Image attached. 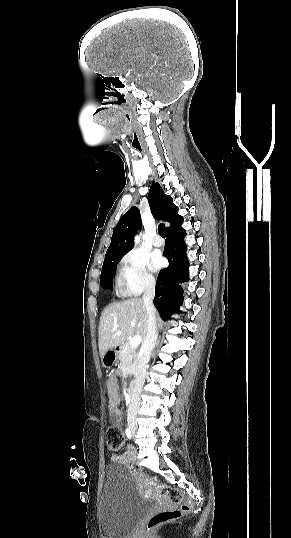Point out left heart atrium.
Returning <instances> with one entry per match:
<instances>
[{
  "label": "left heart atrium",
  "mask_w": 291,
  "mask_h": 538,
  "mask_svg": "<svg viewBox=\"0 0 291 538\" xmlns=\"http://www.w3.org/2000/svg\"><path fill=\"white\" fill-rule=\"evenodd\" d=\"M163 265V259L160 255L154 254L150 260V268L153 271L159 270Z\"/></svg>",
  "instance_id": "left-heart-atrium-1"
}]
</instances>
